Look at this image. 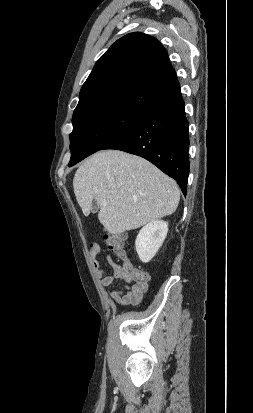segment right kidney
I'll return each mask as SVG.
<instances>
[{
	"instance_id": "ca27d5eb",
	"label": "right kidney",
	"mask_w": 253,
	"mask_h": 413,
	"mask_svg": "<svg viewBox=\"0 0 253 413\" xmlns=\"http://www.w3.org/2000/svg\"><path fill=\"white\" fill-rule=\"evenodd\" d=\"M168 233V223L157 220L145 225L137 235L136 251L142 262H149L163 244Z\"/></svg>"
}]
</instances>
